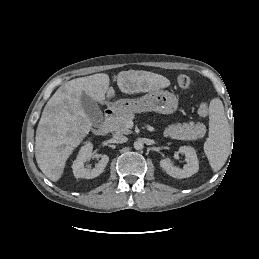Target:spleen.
<instances>
[{
    "mask_svg": "<svg viewBox=\"0 0 259 259\" xmlns=\"http://www.w3.org/2000/svg\"><path fill=\"white\" fill-rule=\"evenodd\" d=\"M231 133L223 103L219 98L209 106V136L204 143V152L214 172L220 170L230 153Z\"/></svg>",
    "mask_w": 259,
    "mask_h": 259,
    "instance_id": "1",
    "label": "spleen"
}]
</instances>
